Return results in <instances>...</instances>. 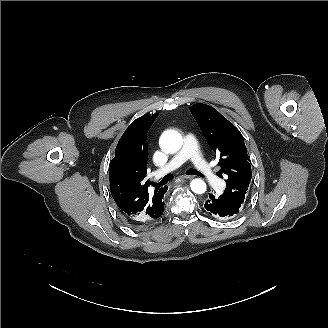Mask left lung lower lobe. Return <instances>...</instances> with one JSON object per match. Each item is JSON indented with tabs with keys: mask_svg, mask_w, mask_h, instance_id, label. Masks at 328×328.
I'll return each mask as SVG.
<instances>
[{
	"mask_svg": "<svg viewBox=\"0 0 328 328\" xmlns=\"http://www.w3.org/2000/svg\"><path fill=\"white\" fill-rule=\"evenodd\" d=\"M204 208L210 215L218 219H230L239 213V208L213 194H209V199L205 202Z\"/></svg>",
	"mask_w": 328,
	"mask_h": 328,
	"instance_id": "obj_1",
	"label": "left lung lower lobe"
}]
</instances>
